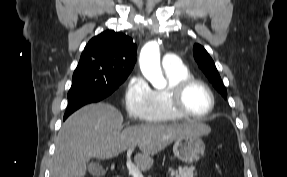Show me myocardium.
<instances>
[{
	"mask_svg": "<svg viewBox=\"0 0 287 177\" xmlns=\"http://www.w3.org/2000/svg\"><path fill=\"white\" fill-rule=\"evenodd\" d=\"M193 85H199L203 87L210 97V107L209 110L203 115H194L186 110L183 101L186 91ZM169 103L172 111L184 118L194 119V120H204L211 116L215 109L216 99L212 88L204 81L197 79L195 77H186L176 83L169 89Z\"/></svg>",
	"mask_w": 287,
	"mask_h": 177,
	"instance_id": "1",
	"label": "myocardium"
}]
</instances>
